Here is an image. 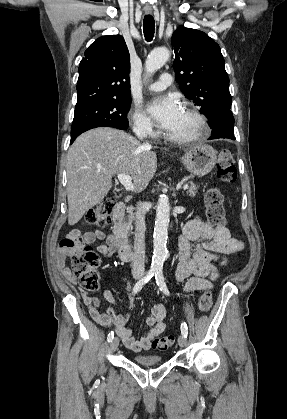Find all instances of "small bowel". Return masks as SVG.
Listing matches in <instances>:
<instances>
[{"label":"small bowel","instance_id":"1","mask_svg":"<svg viewBox=\"0 0 287 419\" xmlns=\"http://www.w3.org/2000/svg\"><path fill=\"white\" fill-rule=\"evenodd\" d=\"M71 235L80 237L86 244L104 240L105 243L97 246L98 253L104 257H111L120 248V242L115 235L105 234L100 230L81 234L75 229ZM241 247L242 243L231 236L227 227L213 226L200 218H193L186 224L179 238L176 278L180 281L186 280L187 292L211 289L212 281L217 277L215 263L219 262V254L235 251ZM67 256L61 251L57 257V265L66 279L75 282V276L66 263ZM127 292L128 294L130 292L129 283H127ZM102 297L111 303H119L109 290L103 291ZM82 298L93 320L106 327L113 326L124 345L134 352L150 349L153 340L166 329V309L163 305L153 307L151 315L146 320L149 329L141 339H136L127 326L130 317L128 312L117 315L111 307L101 311L100 299L90 296L85 291H82Z\"/></svg>","mask_w":287,"mask_h":419}]
</instances>
